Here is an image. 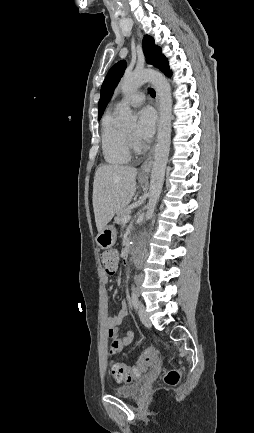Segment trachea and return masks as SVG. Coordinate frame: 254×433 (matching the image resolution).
I'll return each instance as SVG.
<instances>
[{
  "label": "trachea",
  "instance_id": "obj_1",
  "mask_svg": "<svg viewBox=\"0 0 254 433\" xmlns=\"http://www.w3.org/2000/svg\"><path fill=\"white\" fill-rule=\"evenodd\" d=\"M149 94L152 96V97H155V95H156V93H155V91L152 89V88H149Z\"/></svg>",
  "mask_w": 254,
  "mask_h": 433
}]
</instances>
